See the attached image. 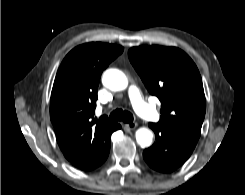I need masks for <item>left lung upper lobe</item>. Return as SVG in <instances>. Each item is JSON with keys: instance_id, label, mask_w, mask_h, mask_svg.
<instances>
[{"instance_id": "1", "label": "left lung upper lobe", "mask_w": 245, "mask_h": 195, "mask_svg": "<svg viewBox=\"0 0 245 195\" xmlns=\"http://www.w3.org/2000/svg\"><path fill=\"white\" fill-rule=\"evenodd\" d=\"M128 56L149 93L161 102L157 125L199 138L206 100L192 59L179 48L163 46L133 47Z\"/></svg>"}]
</instances>
